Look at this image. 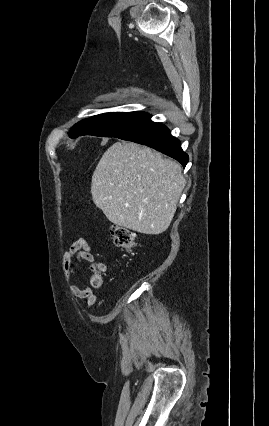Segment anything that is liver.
<instances>
[{
	"mask_svg": "<svg viewBox=\"0 0 269 426\" xmlns=\"http://www.w3.org/2000/svg\"><path fill=\"white\" fill-rule=\"evenodd\" d=\"M185 183L176 161L149 147L116 142L96 166L91 194L113 224L158 235L169 227Z\"/></svg>",
	"mask_w": 269,
	"mask_h": 426,
	"instance_id": "1",
	"label": "liver"
}]
</instances>
